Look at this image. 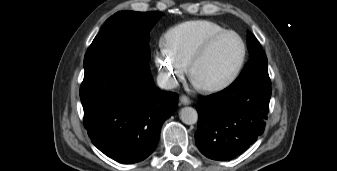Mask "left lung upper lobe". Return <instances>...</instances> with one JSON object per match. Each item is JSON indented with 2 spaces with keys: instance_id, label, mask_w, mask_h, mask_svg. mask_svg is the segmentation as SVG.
Wrapping results in <instances>:
<instances>
[{
  "instance_id": "5c2ea615",
  "label": "left lung upper lobe",
  "mask_w": 337,
  "mask_h": 171,
  "mask_svg": "<svg viewBox=\"0 0 337 171\" xmlns=\"http://www.w3.org/2000/svg\"><path fill=\"white\" fill-rule=\"evenodd\" d=\"M247 43L250 59L246 63L243 72L231 85L247 81L271 83L267 69V57L260 43L252 33H248Z\"/></svg>"
}]
</instances>
